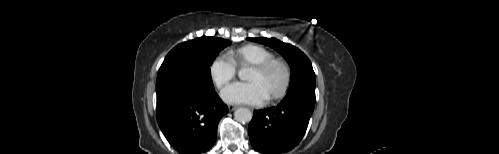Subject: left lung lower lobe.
<instances>
[{
    "instance_id": "0a47b994",
    "label": "left lung lower lobe",
    "mask_w": 499,
    "mask_h": 154,
    "mask_svg": "<svg viewBox=\"0 0 499 154\" xmlns=\"http://www.w3.org/2000/svg\"><path fill=\"white\" fill-rule=\"evenodd\" d=\"M315 89L288 92L276 107L254 111L249 124L253 148L263 154H279L294 148L304 136L315 106Z\"/></svg>"
}]
</instances>
